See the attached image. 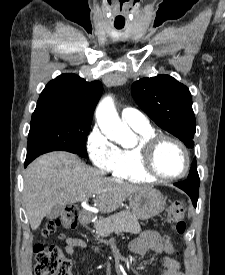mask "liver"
Instances as JSON below:
<instances>
[{
	"instance_id": "liver-1",
	"label": "liver",
	"mask_w": 225,
	"mask_h": 275,
	"mask_svg": "<svg viewBox=\"0 0 225 275\" xmlns=\"http://www.w3.org/2000/svg\"><path fill=\"white\" fill-rule=\"evenodd\" d=\"M149 188L106 178L88 167L77 155L64 151L46 153L36 158L24 176V203L32 230L57 205L73 204L96 196L102 213H111L134 193Z\"/></svg>"
}]
</instances>
